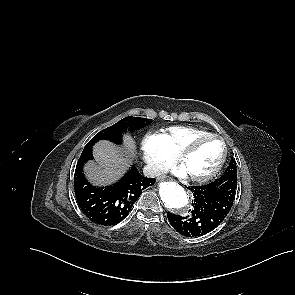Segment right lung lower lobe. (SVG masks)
Here are the masks:
<instances>
[{"label": "right lung lower lobe", "mask_w": 295, "mask_h": 295, "mask_svg": "<svg viewBox=\"0 0 295 295\" xmlns=\"http://www.w3.org/2000/svg\"><path fill=\"white\" fill-rule=\"evenodd\" d=\"M90 159H93L92 151L80 156L76 165L74 189L77 202L93 223L115 225L129 214L142 190L156 180L142 176L136 167H132L119 182L107 187H96L83 174V165Z\"/></svg>", "instance_id": "1"}]
</instances>
